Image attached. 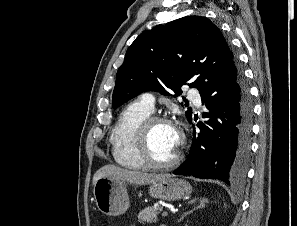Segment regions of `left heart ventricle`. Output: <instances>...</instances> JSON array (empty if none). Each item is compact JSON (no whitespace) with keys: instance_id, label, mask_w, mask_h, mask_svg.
I'll return each instance as SVG.
<instances>
[{"instance_id":"obj_1","label":"left heart ventricle","mask_w":297,"mask_h":226,"mask_svg":"<svg viewBox=\"0 0 297 226\" xmlns=\"http://www.w3.org/2000/svg\"><path fill=\"white\" fill-rule=\"evenodd\" d=\"M179 133L173 125L156 124L149 135V149L152 157L160 162L169 160L178 149Z\"/></svg>"}]
</instances>
